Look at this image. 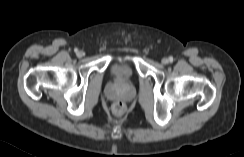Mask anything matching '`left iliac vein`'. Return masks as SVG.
<instances>
[{
    "mask_svg": "<svg viewBox=\"0 0 244 157\" xmlns=\"http://www.w3.org/2000/svg\"><path fill=\"white\" fill-rule=\"evenodd\" d=\"M161 62H162V64H168L169 61L167 58H163Z\"/></svg>",
    "mask_w": 244,
    "mask_h": 157,
    "instance_id": "obj_1",
    "label": "left iliac vein"
}]
</instances>
